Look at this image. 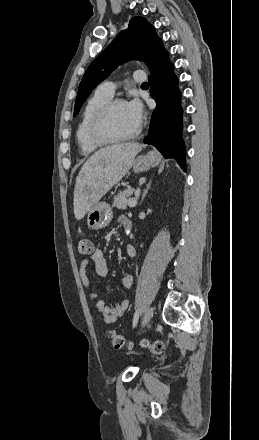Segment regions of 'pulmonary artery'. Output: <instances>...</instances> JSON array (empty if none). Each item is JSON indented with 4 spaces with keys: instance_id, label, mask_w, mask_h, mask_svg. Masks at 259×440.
I'll return each mask as SVG.
<instances>
[{
    "instance_id": "1",
    "label": "pulmonary artery",
    "mask_w": 259,
    "mask_h": 440,
    "mask_svg": "<svg viewBox=\"0 0 259 440\" xmlns=\"http://www.w3.org/2000/svg\"><path fill=\"white\" fill-rule=\"evenodd\" d=\"M146 81V75L142 71H135L133 73V82L134 83H143ZM116 89V84L110 81H105L98 87V90L109 95L113 96Z\"/></svg>"
}]
</instances>
